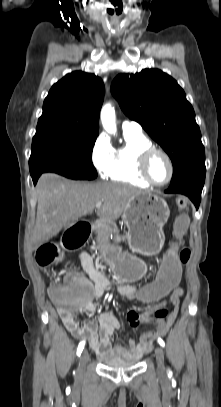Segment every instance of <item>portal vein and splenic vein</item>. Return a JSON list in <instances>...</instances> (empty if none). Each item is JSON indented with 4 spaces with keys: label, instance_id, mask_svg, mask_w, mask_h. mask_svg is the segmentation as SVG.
Here are the masks:
<instances>
[{
    "label": "portal vein and splenic vein",
    "instance_id": "portal-vein-and-splenic-vein-1",
    "mask_svg": "<svg viewBox=\"0 0 221 407\" xmlns=\"http://www.w3.org/2000/svg\"><path fill=\"white\" fill-rule=\"evenodd\" d=\"M102 205V202H97L96 203V208H99Z\"/></svg>",
    "mask_w": 221,
    "mask_h": 407
}]
</instances>
